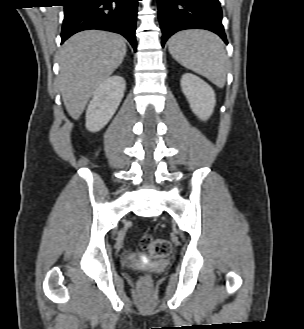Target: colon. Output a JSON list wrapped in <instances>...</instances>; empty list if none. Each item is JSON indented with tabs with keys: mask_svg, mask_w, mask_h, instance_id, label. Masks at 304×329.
<instances>
[{
	"mask_svg": "<svg viewBox=\"0 0 304 329\" xmlns=\"http://www.w3.org/2000/svg\"><path fill=\"white\" fill-rule=\"evenodd\" d=\"M140 246L147 250L151 256L155 258L167 257L171 252L170 242L165 238H154L149 234H143L139 240ZM150 282L149 276L141 279L142 284Z\"/></svg>",
	"mask_w": 304,
	"mask_h": 329,
	"instance_id": "5ec220e1",
	"label": "colon"
}]
</instances>
